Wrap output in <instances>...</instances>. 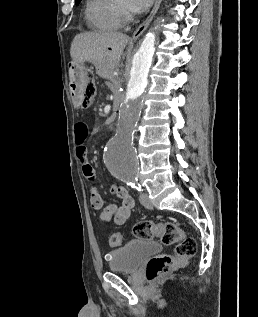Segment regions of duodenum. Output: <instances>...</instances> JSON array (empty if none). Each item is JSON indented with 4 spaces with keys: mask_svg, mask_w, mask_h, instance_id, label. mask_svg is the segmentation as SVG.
I'll use <instances>...</instances> for the list:
<instances>
[{
    "mask_svg": "<svg viewBox=\"0 0 258 317\" xmlns=\"http://www.w3.org/2000/svg\"><path fill=\"white\" fill-rule=\"evenodd\" d=\"M69 76L73 86L74 87L77 86L78 85V69L76 67H70Z\"/></svg>",
    "mask_w": 258,
    "mask_h": 317,
    "instance_id": "410a0bca",
    "label": "duodenum"
}]
</instances>
